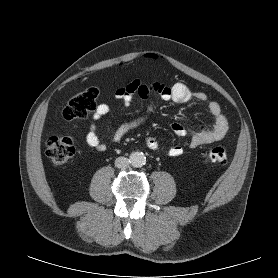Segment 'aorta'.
I'll return each instance as SVG.
<instances>
[{
  "mask_svg": "<svg viewBox=\"0 0 278 278\" xmlns=\"http://www.w3.org/2000/svg\"><path fill=\"white\" fill-rule=\"evenodd\" d=\"M129 160L134 167H142L146 163V156L143 152L136 151L131 153Z\"/></svg>",
  "mask_w": 278,
  "mask_h": 278,
  "instance_id": "1",
  "label": "aorta"
}]
</instances>
